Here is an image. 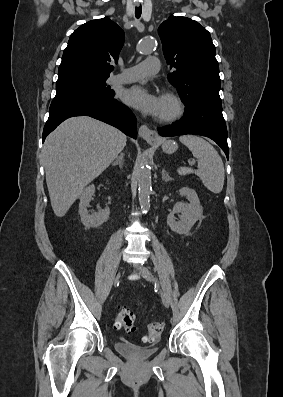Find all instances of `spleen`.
I'll return each instance as SVG.
<instances>
[{"label":"spleen","mask_w":283,"mask_h":397,"mask_svg":"<svg viewBox=\"0 0 283 397\" xmlns=\"http://www.w3.org/2000/svg\"><path fill=\"white\" fill-rule=\"evenodd\" d=\"M179 141L189 148L197 158L198 168L193 170L180 167V175L195 173L211 192L218 194L222 191L225 179L224 165L216 149L206 140L195 135H184Z\"/></svg>","instance_id":"obj_1"}]
</instances>
